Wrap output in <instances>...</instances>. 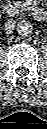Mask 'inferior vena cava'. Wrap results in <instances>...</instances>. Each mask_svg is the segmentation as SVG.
I'll list each match as a JSON object with an SVG mask.
<instances>
[{"label": "inferior vena cava", "instance_id": "obj_1", "mask_svg": "<svg viewBox=\"0 0 47 129\" xmlns=\"http://www.w3.org/2000/svg\"><path fill=\"white\" fill-rule=\"evenodd\" d=\"M15 28V21L13 19H10L8 20L6 23H5V32L6 33H11Z\"/></svg>", "mask_w": 47, "mask_h": 129}]
</instances>
